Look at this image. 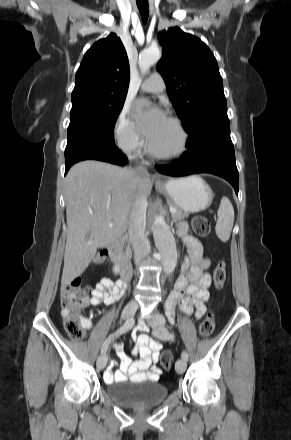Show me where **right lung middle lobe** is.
Instances as JSON below:
<instances>
[{
    "mask_svg": "<svg viewBox=\"0 0 291 440\" xmlns=\"http://www.w3.org/2000/svg\"><path fill=\"white\" fill-rule=\"evenodd\" d=\"M122 99H87L72 103L68 138L88 136L114 141V125L124 105Z\"/></svg>",
    "mask_w": 291,
    "mask_h": 440,
    "instance_id": "1",
    "label": "right lung middle lobe"
}]
</instances>
